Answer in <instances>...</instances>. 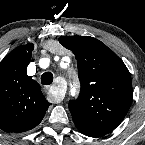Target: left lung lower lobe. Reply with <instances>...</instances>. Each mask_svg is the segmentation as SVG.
Returning <instances> with one entry per match:
<instances>
[{
    "label": "left lung lower lobe",
    "mask_w": 145,
    "mask_h": 145,
    "mask_svg": "<svg viewBox=\"0 0 145 145\" xmlns=\"http://www.w3.org/2000/svg\"><path fill=\"white\" fill-rule=\"evenodd\" d=\"M81 133L89 136V137H101L103 135L95 133V132H90V131H86V130H80Z\"/></svg>",
    "instance_id": "0a47b994"
}]
</instances>
